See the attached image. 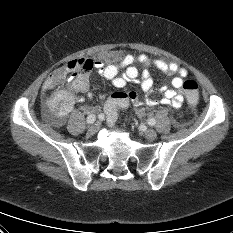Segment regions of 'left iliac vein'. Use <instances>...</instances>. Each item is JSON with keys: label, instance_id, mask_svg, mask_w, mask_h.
<instances>
[{"label": "left iliac vein", "instance_id": "left-iliac-vein-1", "mask_svg": "<svg viewBox=\"0 0 233 233\" xmlns=\"http://www.w3.org/2000/svg\"><path fill=\"white\" fill-rule=\"evenodd\" d=\"M145 138H147L148 140H154L157 137V133L155 130L153 129H142Z\"/></svg>", "mask_w": 233, "mask_h": 233}]
</instances>
